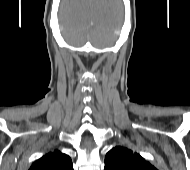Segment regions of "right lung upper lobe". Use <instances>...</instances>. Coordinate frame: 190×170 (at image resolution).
I'll return each instance as SVG.
<instances>
[{
  "label": "right lung upper lobe",
  "instance_id": "obj_1",
  "mask_svg": "<svg viewBox=\"0 0 190 170\" xmlns=\"http://www.w3.org/2000/svg\"><path fill=\"white\" fill-rule=\"evenodd\" d=\"M29 170H73L71 158L54 150L35 161Z\"/></svg>",
  "mask_w": 190,
  "mask_h": 170
}]
</instances>
